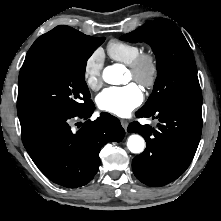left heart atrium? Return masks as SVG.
<instances>
[{
    "instance_id": "1",
    "label": "left heart atrium",
    "mask_w": 221,
    "mask_h": 221,
    "mask_svg": "<svg viewBox=\"0 0 221 221\" xmlns=\"http://www.w3.org/2000/svg\"><path fill=\"white\" fill-rule=\"evenodd\" d=\"M143 101V92L136 83L104 89L96 98L98 107L110 114L124 117Z\"/></svg>"
}]
</instances>
